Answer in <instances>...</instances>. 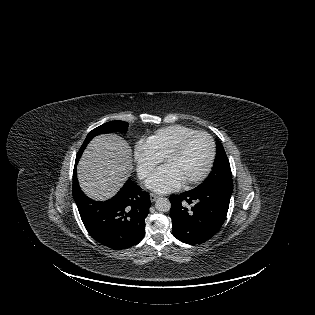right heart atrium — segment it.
<instances>
[{
  "label": "right heart atrium",
  "instance_id": "1",
  "mask_svg": "<svg viewBox=\"0 0 315 315\" xmlns=\"http://www.w3.org/2000/svg\"><path fill=\"white\" fill-rule=\"evenodd\" d=\"M134 161L140 178H147L159 164L158 158L145 141H140L134 148Z\"/></svg>",
  "mask_w": 315,
  "mask_h": 315
}]
</instances>
